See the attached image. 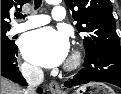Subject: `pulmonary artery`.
Instances as JSON below:
<instances>
[{
	"instance_id": "1",
	"label": "pulmonary artery",
	"mask_w": 121,
	"mask_h": 94,
	"mask_svg": "<svg viewBox=\"0 0 121 94\" xmlns=\"http://www.w3.org/2000/svg\"><path fill=\"white\" fill-rule=\"evenodd\" d=\"M66 17V11L63 6H55L50 16L45 14L29 15L26 21L15 24L10 30L11 34H17L35 27L47 24L52 18L55 21H63Z\"/></svg>"
}]
</instances>
